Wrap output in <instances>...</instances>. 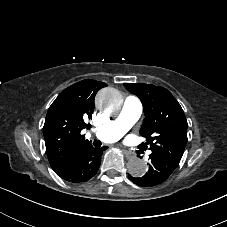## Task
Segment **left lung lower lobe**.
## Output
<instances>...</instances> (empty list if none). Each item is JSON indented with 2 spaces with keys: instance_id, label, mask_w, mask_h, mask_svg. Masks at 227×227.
I'll list each match as a JSON object with an SVG mask.
<instances>
[{
  "instance_id": "1",
  "label": "left lung lower lobe",
  "mask_w": 227,
  "mask_h": 227,
  "mask_svg": "<svg viewBox=\"0 0 227 227\" xmlns=\"http://www.w3.org/2000/svg\"><path fill=\"white\" fill-rule=\"evenodd\" d=\"M149 158L151 164L149 165V171L144 176L134 178L128 175L130 180L142 187H151L164 182L178 166L176 162L162 155L151 153Z\"/></svg>"
}]
</instances>
